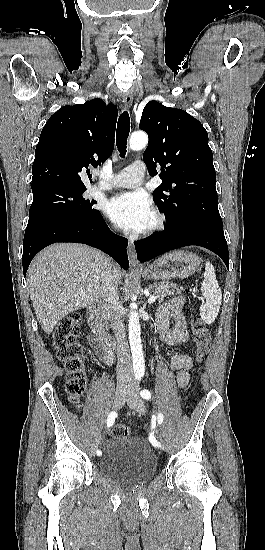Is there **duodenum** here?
<instances>
[{
  "instance_id": "duodenum-1",
  "label": "duodenum",
  "mask_w": 265,
  "mask_h": 550,
  "mask_svg": "<svg viewBox=\"0 0 265 550\" xmlns=\"http://www.w3.org/2000/svg\"><path fill=\"white\" fill-rule=\"evenodd\" d=\"M100 310V302L91 304L87 309V322L93 334V344L102 350H116L119 347L118 341L106 333L100 319Z\"/></svg>"
}]
</instances>
